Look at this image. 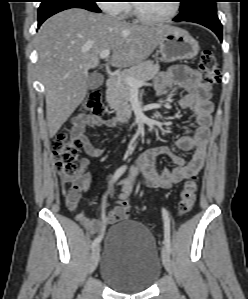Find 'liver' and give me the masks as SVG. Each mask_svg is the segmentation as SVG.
<instances>
[{
  "label": "liver",
  "mask_w": 248,
  "mask_h": 299,
  "mask_svg": "<svg viewBox=\"0 0 248 299\" xmlns=\"http://www.w3.org/2000/svg\"><path fill=\"white\" fill-rule=\"evenodd\" d=\"M170 28L132 25L81 8L47 19L36 43L50 138L86 97L89 70L99 65L103 50H112L109 63L113 67H131L147 59Z\"/></svg>",
  "instance_id": "6515ba94"
}]
</instances>
